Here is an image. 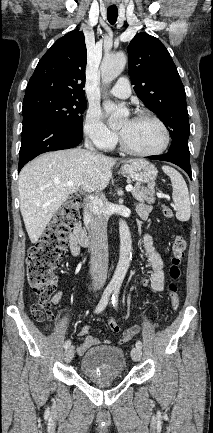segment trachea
<instances>
[{
  "instance_id": "obj_1",
  "label": "trachea",
  "mask_w": 213,
  "mask_h": 433,
  "mask_svg": "<svg viewBox=\"0 0 213 433\" xmlns=\"http://www.w3.org/2000/svg\"><path fill=\"white\" fill-rule=\"evenodd\" d=\"M118 9L115 6L108 7L107 9V19L110 24H115L117 21Z\"/></svg>"
}]
</instances>
